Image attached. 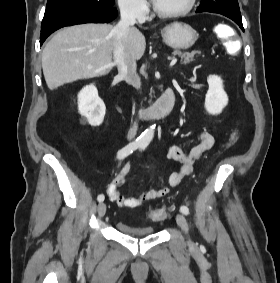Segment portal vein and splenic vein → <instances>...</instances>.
Wrapping results in <instances>:
<instances>
[{"label":"portal vein and splenic vein","instance_id":"18ae733b","mask_svg":"<svg viewBox=\"0 0 280 283\" xmlns=\"http://www.w3.org/2000/svg\"><path fill=\"white\" fill-rule=\"evenodd\" d=\"M177 63V58H173L170 62V66H174Z\"/></svg>","mask_w":280,"mask_h":283}]
</instances>
